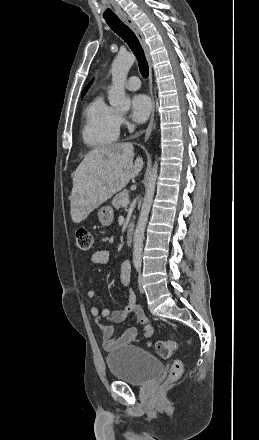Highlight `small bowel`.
Returning a JSON list of instances; mask_svg holds the SVG:
<instances>
[{
	"label": "small bowel",
	"mask_w": 259,
	"mask_h": 440,
	"mask_svg": "<svg viewBox=\"0 0 259 440\" xmlns=\"http://www.w3.org/2000/svg\"><path fill=\"white\" fill-rule=\"evenodd\" d=\"M113 237H104L103 241L106 243L113 242ZM110 254L107 250H98L92 255V261L96 264L105 265L109 261ZM120 282L124 286H129L131 281V264L128 260H124L120 265L119 273ZM99 290L89 289L86 292L88 298H94ZM91 315L96 318L99 328L101 330L102 344L106 350H112L121 346H125L135 341L137 338L136 327H128L124 333L119 336H114L113 324L124 322L130 314L135 317V322L141 324L145 329L146 338H150L153 334V327L150 319L145 315L142 307L136 302V295L132 289L129 290L128 298L125 306L121 309L110 311L106 307L92 306L90 309ZM108 321L109 323H103Z\"/></svg>",
	"instance_id": "c3829d8e"
}]
</instances>
